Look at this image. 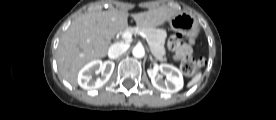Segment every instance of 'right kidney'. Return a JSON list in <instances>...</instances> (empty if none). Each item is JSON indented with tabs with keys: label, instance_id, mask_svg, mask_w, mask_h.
<instances>
[{
	"label": "right kidney",
	"instance_id": "right-kidney-1",
	"mask_svg": "<svg viewBox=\"0 0 276 120\" xmlns=\"http://www.w3.org/2000/svg\"><path fill=\"white\" fill-rule=\"evenodd\" d=\"M115 64L112 61L94 60L86 64L78 74V84L85 90L91 91L102 87L111 77ZM94 73H101L97 80L92 78Z\"/></svg>",
	"mask_w": 276,
	"mask_h": 120
}]
</instances>
